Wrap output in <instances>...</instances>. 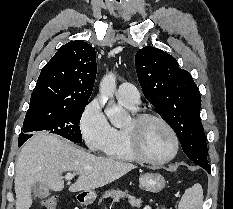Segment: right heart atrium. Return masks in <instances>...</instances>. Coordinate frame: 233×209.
Returning <instances> with one entry per match:
<instances>
[{
    "label": "right heart atrium",
    "instance_id": "right-heart-atrium-1",
    "mask_svg": "<svg viewBox=\"0 0 233 209\" xmlns=\"http://www.w3.org/2000/svg\"><path fill=\"white\" fill-rule=\"evenodd\" d=\"M79 126L86 145L92 151H101L113 139L114 128L108 122L97 98L83 109Z\"/></svg>",
    "mask_w": 233,
    "mask_h": 209
}]
</instances>
